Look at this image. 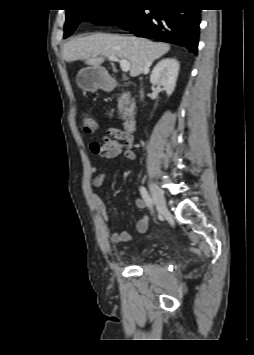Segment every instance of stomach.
<instances>
[{
  "label": "stomach",
  "mask_w": 254,
  "mask_h": 355,
  "mask_svg": "<svg viewBox=\"0 0 254 355\" xmlns=\"http://www.w3.org/2000/svg\"><path fill=\"white\" fill-rule=\"evenodd\" d=\"M77 84L86 91L95 92L98 89H109L113 82L107 71L102 67H85L77 74Z\"/></svg>",
  "instance_id": "0dacf381"
}]
</instances>
